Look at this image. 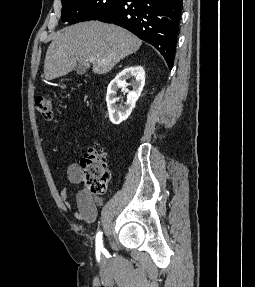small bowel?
<instances>
[{
    "instance_id": "1",
    "label": "small bowel",
    "mask_w": 255,
    "mask_h": 287,
    "mask_svg": "<svg viewBox=\"0 0 255 287\" xmlns=\"http://www.w3.org/2000/svg\"><path fill=\"white\" fill-rule=\"evenodd\" d=\"M66 176L70 184L81 185L84 178V172L79 164L73 163L68 166ZM68 197L69 190L67 188L62 189L59 193V198L64 210L70 208ZM100 204L101 200L99 198L91 195L85 188H80L76 195L75 219L93 223L97 218V209Z\"/></svg>"
}]
</instances>
